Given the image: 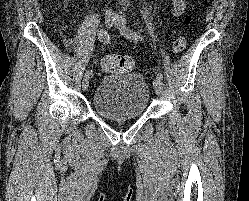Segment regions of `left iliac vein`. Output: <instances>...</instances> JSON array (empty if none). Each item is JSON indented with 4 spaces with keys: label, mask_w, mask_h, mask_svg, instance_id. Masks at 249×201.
I'll use <instances>...</instances> for the list:
<instances>
[{
    "label": "left iliac vein",
    "mask_w": 249,
    "mask_h": 201,
    "mask_svg": "<svg viewBox=\"0 0 249 201\" xmlns=\"http://www.w3.org/2000/svg\"><path fill=\"white\" fill-rule=\"evenodd\" d=\"M116 27L118 28V30L126 37H128L124 30L126 28V20L124 17H122L121 15L119 14H115V21H114ZM153 88H154V91L156 94H160L162 92V80L159 79V78H155L153 80Z\"/></svg>",
    "instance_id": "1"
}]
</instances>
